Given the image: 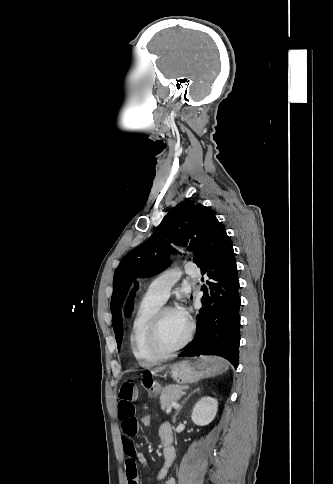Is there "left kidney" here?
<instances>
[{
    "label": "left kidney",
    "instance_id": "obj_1",
    "mask_svg": "<svg viewBox=\"0 0 333 484\" xmlns=\"http://www.w3.org/2000/svg\"><path fill=\"white\" fill-rule=\"evenodd\" d=\"M218 410V402L212 397H203L194 406L192 421L198 426H205L211 423Z\"/></svg>",
    "mask_w": 333,
    "mask_h": 484
}]
</instances>
